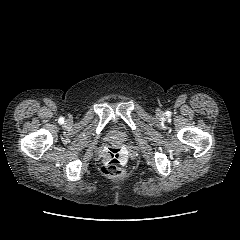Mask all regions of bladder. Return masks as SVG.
Listing matches in <instances>:
<instances>
[{
  "label": "bladder",
  "mask_w": 240,
  "mask_h": 240,
  "mask_svg": "<svg viewBox=\"0 0 240 240\" xmlns=\"http://www.w3.org/2000/svg\"><path fill=\"white\" fill-rule=\"evenodd\" d=\"M110 134L113 138L122 140L124 139V134L120 128L113 126L110 130Z\"/></svg>",
  "instance_id": "bladder-1"
}]
</instances>
